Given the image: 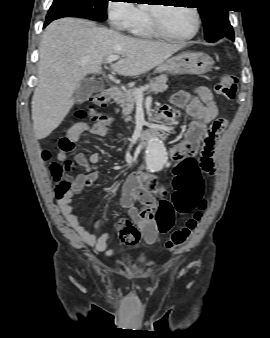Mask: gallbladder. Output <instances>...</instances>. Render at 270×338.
<instances>
[{
	"label": "gallbladder",
	"mask_w": 270,
	"mask_h": 338,
	"mask_svg": "<svg viewBox=\"0 0 270 338\" xmlns=\"http://www.w3.org/2000/svg\"><path fill=\"white\" fill-rule=\"evenodd\" d=\"M104 89V85L96 80L83 79L80 81L78 87L74 92V98L78 103H82L96 92H100Z\"/></svg>",
	"instance_id": "1"
}]
</instances>
